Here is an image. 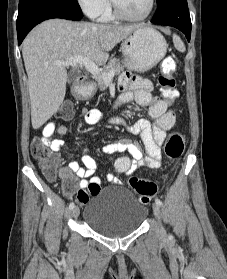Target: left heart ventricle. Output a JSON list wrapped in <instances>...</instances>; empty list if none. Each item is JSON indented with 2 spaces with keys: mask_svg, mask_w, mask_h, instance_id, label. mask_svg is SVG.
<instances>
[{
  "mask_svg": "<svg viewBox=\"0 0 227 279\" xmlns=\"http://www.w3.org/2000/svg\"><path fill=\"white\" fill-rule=\"evenodd\" d=\"M116 2L123 11L132 16L144 14L149 6V0H116Z\"/></svg>",
  "mask_w": 227,
  "mask_h": 279,
  "instance_id": "b2bd125f",
  "label": "left heart ventricle"
}]
</instances>
